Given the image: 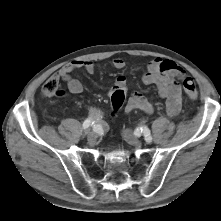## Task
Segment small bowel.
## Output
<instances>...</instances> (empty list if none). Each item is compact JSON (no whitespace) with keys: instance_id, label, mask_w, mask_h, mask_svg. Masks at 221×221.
Returning a JSON list of instances; mask_svg holds the SVG:
<instances>
[{"instance_id":"1","label":"small bowel","mask_w":221,"mask_h":221,"mask_svg":"<svg viewBox=\"0 0 221 221\" xmlns=\"http://www.w3.org/2000/svg\"><path fill=\"white\" fill-rule=\"evenodd\" d=\"M112 66L121 70L125 67V61L121 58H115ZM76 69H83L88 74H94L96 65L91 60H76L68 65L63 66L53 76L59 81L65 82L68 90L73 94H79L83 91L82 83L72 77L71 73ZM184 70L175 62L167 59L155 58L151 60L147 66V71L142 77L145 85H153L157 88L158 94L166 102V112L170 116L179 114L183 102V93L180 84L176 79H183ZM116 88H123L127 91L126 78L119 75L109 89V94ZM127 112L139 110L144 113H152L154 111L153 103L139 92L132 93L125 105Z\"/></svg>"}]
</instances>
